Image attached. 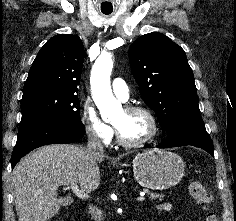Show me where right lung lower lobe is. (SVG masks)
<instances>
[{
    "mask_svg": "<svg viewBox=\"0 0 236 221\" xmlns=\"http://www.w3.org/2000/svg\"><path fill=\"white\" fill-rule=\"evenodd\" d=\"M85 134L84 127H74L67 123L40 119L21 124L17 142L11 157L12 169L28 152L43 145L73 143Z\"/></svg>",
    "mask_w": 236,
    "mask_h": 221,
    "instance_id": "98d812e1",
    "label": "right lung lower lobe"
}]
</instances>
